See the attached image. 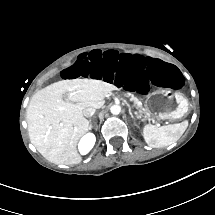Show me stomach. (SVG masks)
Returning <instances> with one entry per match:
<instances>
[{
	"label": "stomach",
	"mask_w": 215,
	"mask_h": 215,
	"mask_svg": "<svg viewBox=\"0 0 215 215\" xmlns=\"http://www.w3.org/2000/svg\"><path fill=\"white\" fill-rule=\"evenodd\" d=\"M145 107L152 117L178 120L186 116L189 103L180 92L160 89L148 95Z\"/></svg>",
	"instance_id": "1"
}]
</instances>
